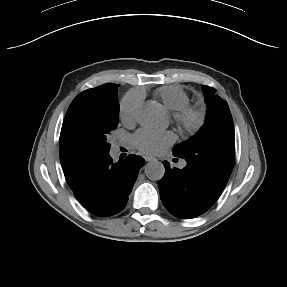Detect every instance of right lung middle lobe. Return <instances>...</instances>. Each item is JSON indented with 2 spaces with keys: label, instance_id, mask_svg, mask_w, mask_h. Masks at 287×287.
<instances>
[{
  "label": "right lung middle lobe",
  "instance_id": "obj_1",
  "mask_svg": "<svg viewBox=\"0 0 287 287\" xmlns=\"http://www.w3.org/2000/svg\"><path fill=\"white\" fill-rule=\"evenodd\" d=\"M117 88L83 91L71 103L60 134V159L65 175L105 156L109 131L118 125Z\"/></svg>",
  "mask_w": 287,
  "mask_h": 287
}]
</instances>
